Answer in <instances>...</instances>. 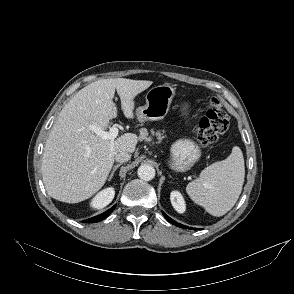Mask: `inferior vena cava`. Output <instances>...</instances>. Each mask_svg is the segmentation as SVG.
<instances>
[{"mask_svg":"<svg viewBox=\"0 0 294 294\" xmlns=\"http://www.w3.org/2000/svg\"><path fill=\"white\" fill-rule=\"evenodd\" d=\"M130 159H131V154L126 151H120L119 153L115 155V160L120 163L127 162Z\"/></svg>","mask_w":294,"mask_h":294,"instance_id":"602c4592","label":"inferior vena cava"}]
</instances>
